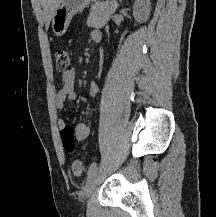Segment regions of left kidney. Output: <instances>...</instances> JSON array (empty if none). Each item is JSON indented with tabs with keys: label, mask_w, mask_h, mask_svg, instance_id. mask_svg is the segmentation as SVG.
<instances>
[{
	"label": "left kidney",
	"mask_w": 216,
	"mask_h": 217,
	"mask_svg": "<svg viewBox=\"0 0 216 217\" xmlns=\"http://www.w3.org/2000/svg\"><path fill=\"white\" fill-rule=\"evenodd\" d=\"M150 10V0H136L133 6V16L137 22H145L149 18Z\"/></svg>",
	"instance_id": "obj_1"
}]
</instances>
